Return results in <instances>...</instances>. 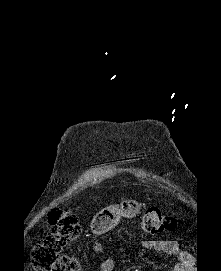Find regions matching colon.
I'll use <instances>...</instances> for the list:
<instances>
[{"label": "colon", "instance_id": "1", "mask_svg": "<svg viewBox=\"0 0 221 271\" xmlns=\"http://www.w3.org/2000/svg\"><path fill=\"white\" fill-rule=\"evenodd\" d=\"M50 232L34 247L32 263L37 271H80V266L71 254L64 253L68 243L80 237L82 228L78 217L68 209L54 208L48 213ZM177 220L152 207L147 209L140 220L144 233L160 234L173 231ZM97 250V246H95Z\"/></svg>", "mask_w": 221, "mask_h": 271}]
</instances>
